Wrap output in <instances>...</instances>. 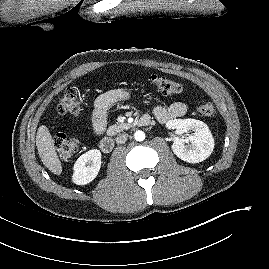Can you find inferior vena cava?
Wrapping results in <instances>:
<instances>
[{
	"mask_svg": "<svg viewBox=\"0 0 269 269\" xmlns=\"http://www.w3.org/2000/svg\"><path fill=\"white\" fill-rule=\"evenodd\" d=\"M127 138H128V134H126V133L121 134L116 138V143L117 144H123V143L126 142Z\"/></svg>",
	"mask_w": 269,
	"mask_h": 269,
	"instance_id": "1",
	"label": "inferior vena cava"
}]
</instances>
